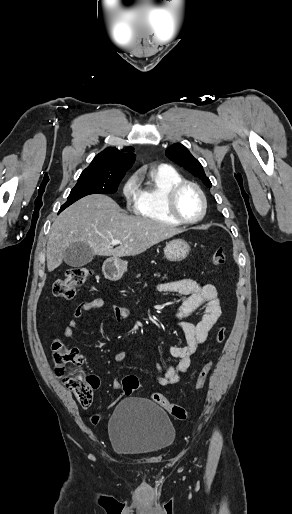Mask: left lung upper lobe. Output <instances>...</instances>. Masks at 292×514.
<instances>
[{
  "mask_svg": "<svg viewBox=\"0 0 292 514\" xmlns=\"http://www.w3.org/2000/svg\"><path fill=\"white\" fill-rule=\"evenodd\" d=\"M166 156L176 164L189 171L195 177H198L209 188L212 187L211 181L206 176L200 162L195 159L189 150L182 144H173L165 151Z\"/></svg>",
  "mask_w": 292,
  "mask_h": 514,
  "instance_id": "1",
  "label": "left lung upper lobe"
}]
</instances>
